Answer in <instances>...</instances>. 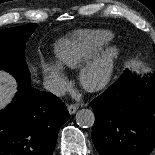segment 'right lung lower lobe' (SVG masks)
I'll return each instance as SVG.
<instances>
[{
	"label": "right lung lower lobe",
	"instance_id": "right-lung-lower-lobe-1",
	"mask_svg": "<svg viewBox=\"0 0 155 155\" xmlns=\"http://www.w3.org/2000/svg\"><path fill=\"white\" fill-rule=\"evenodd\" d=\"M69 118L59 98L25 83L0 110V155H52L58 131Z\"/></svg>",
	"mask_w": 155,
	"mask_h": 155
}]
</instances>
